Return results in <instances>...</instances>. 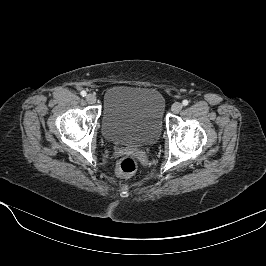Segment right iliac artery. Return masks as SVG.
<instances>
[{
  "mask_svg": "<svg viewBox=\"0 0 266 266\" xmlns=\"http://www.w3.org/2000/svg\"><path fill=\"white\" fill-rule=\"evenodd\" d=\"M80 94H81V96H83V97H84V96H86V94H87V93H86V91H84V90H83V91H81V93H80Z\"/></svg>",
  "mask_w": 266,
  "mask_h": 266,
  "instance_id": "obj_1",
  "label": "right iliac artery"
}]
</instances>
